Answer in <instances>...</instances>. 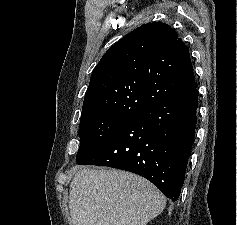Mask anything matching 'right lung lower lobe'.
<instances>
[{"instance_id": "obj_1", "label": "right lung lower lobe", "mask_w": 237, "mask_h": 225, "mask_svg": "<svg viewBox=\"0 0 237 225\" xmlns=\"http://www.w3.org/2000/svg\"><path fill=\"white\" fill-rule=\"evenodd\" d=\"M196 87L144 108L77 163L133 172L176 201L197 123Z\"/></svg>"}]
</instances>
